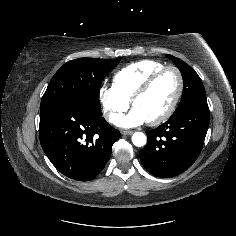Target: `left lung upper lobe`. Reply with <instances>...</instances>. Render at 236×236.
<instances>
[{"label":"left lung upper lobe","mask_w":236,"mask_h":236,"mask_svg":"<svg viewBox=\"0 0 236 236\" xmlns=\"http://www.w3.org/2000/svg\"><path fill=\"white\" fill-rule=\"evenodd\" d=\"M166 57L171 59L177 65L183 77V94L174 113L183 110L192 103L206 101L205 89L198 74L181 59L172 55H166Z\"/></svg>","instance_id":"left-lung-upper-lobe-1"}]
</instances>
